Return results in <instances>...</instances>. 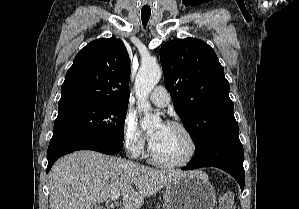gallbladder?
<instances>
[{
  "label": "gallbladder",
  "instance_id": "gallbladder-1",
  "mask_svg": "<svg viewBox=\"0 0 299 209\" xmlns=\"http://www.w3.org/2000/svg\"><path fill=\"white\" fill-rule=\"evenodd\" d=\"M92 209H102V208L94 206V207H92Z\"/></svg>",
  "mask_w": 299,
  "mask_h": 209
}]
</instances>
